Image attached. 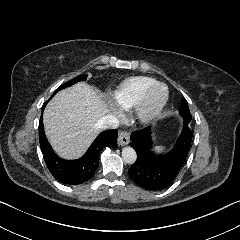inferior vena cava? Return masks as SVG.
<instances>
[{
    "label": "inferior vena cava",
    "instance_id": "inferior-vena-cava-1",
    "mask_svg": "<svg viewBox=\"0 0 240 240\" xmlns=\"http://www.w3.org/2000/svg\"><path fill=\"white\" fill-rule=\"evenodd\" d=\"M118 126V118L110 114L101 117L96 123V127L100 129H116Z\"/></svg>",
    "mask_w": 240,
    "mask_h": 240
}]
</instances>
